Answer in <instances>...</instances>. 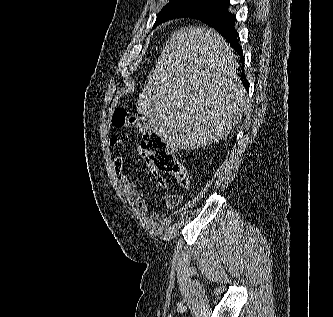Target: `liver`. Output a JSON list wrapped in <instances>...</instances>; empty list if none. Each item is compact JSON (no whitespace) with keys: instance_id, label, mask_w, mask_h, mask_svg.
I'll return each instance as SVG.
<instances>
[{"instance_id":"obj_1","label":"liver","mask_w":333,"mask_h":317,"mask_svg":"<svg viewBox=\"0 0 333 317\" xmlns=\"http://www.w3.org/2000/svg\"><path fill=\"white\" fill-rule=\"evenodd\" d=\"M234 57L216 31H176L148 77L137 112L176 149L217 143L236 127L248 105Z\"/></svg>"}]
</instances>
